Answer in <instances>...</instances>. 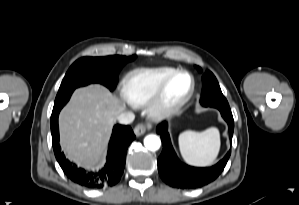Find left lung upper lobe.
Here are the masks:
<instances>
[{
	"label": "left lung upper lobe",
	"mask_w": 299,
	"mask_h": 205,
	"mask_svg": "<svg viewBox=\"0 0 299 205\" xmlns=\"http://www.w3.org/2000/svg\"><path fill=\"white\" fill-rule=\"evenodd\" d=\"M197 69L201 72V68L197 67ZM203 92L200 103L203 105L214 104V103H223L227 102L226 98L222 94L219 83L215 76L207 71L203 76Z\"/></svg>",
	"instance_id": "obj_1"
}]
</instances>
